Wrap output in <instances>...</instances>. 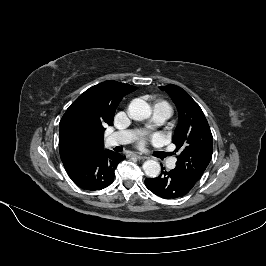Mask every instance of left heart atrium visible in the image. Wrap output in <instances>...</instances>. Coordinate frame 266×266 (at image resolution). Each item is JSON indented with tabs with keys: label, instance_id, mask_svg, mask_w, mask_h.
<instances>
[{
	"label": "left heart atrium",
	"instance_id": "1",
	"mask_svg": "<svg viewBox=\"0 0 266 266\" xmlns=\"http://www.w3.org/2000/svg\"><path fill=\"white\" fill-rule=\"evenodd\" d=\"M157 138H158L157 136H153V137H152V140H157ZM144 142H145V141L143 140V141H141L140 144H143Z\"/></svg>",
	"mask_w": 266,
	"mask_h": 266
}]
</instances>
